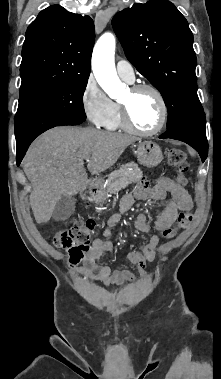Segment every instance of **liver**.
Segmentation results:
<instances>
[{
    "instance_id": "liver-1",
    "label": "liver",
    "mask_w": 221,
    "mask_h": 379,
    "mask_svg": "<svg viewBox=\"0 0 221 379\" xmlns=\"http://www.w3.org/2000/svg\"><path fill=\"white\" fill-rule=\"evenodd\" d=\"M136 137L93 128L57 127L43 133L23 160L31 182L30 205L37 223L48 222L62 195L73 196L87 186L83 162L91 174L113 166Z\"/></svg>"
}]
</instances>
